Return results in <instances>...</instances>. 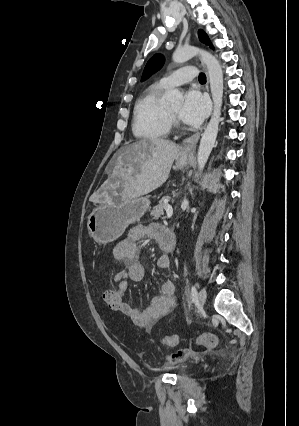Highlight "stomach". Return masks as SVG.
<instances>
[{
	"mask_svg": "<svg viewBox=\"0 0 299 426\" xmlns=\"http://www.w3.org/2000/svg\"><path fill=\"white\" fill-rule=\"evenodd\" d=\"M189 160L190 156L180 153L176 167H185ZM149 208V198L143 196L121 199L119 202H106L94 208L88 216V232L98 243H110L118 239L128 225L139 221Z\"/></svg>",
	"mask_w": 299,
	"mask_h": 426,
	"instance_id": "0dacf381",
	"label": "stomach"
}]
</instances>
